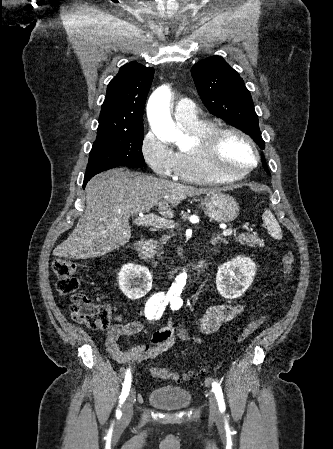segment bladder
Wrapping results in <instances>:
<instances>
[{"mask_svg":"<svg viewBox=\"0 0 333 449\" xmlns=\"http://www.w3.org/2000/svg\"><path fill=\"white\" fill-rule=\"evenodd\" d=\"M148 402L162 410H180L191 402L188 390L179 386L161 385L153 388L148 394Z\"/></svg>","mask_w":333,"mask_h":449,"instance_id":"1","label":"bladder"}]
</instances>
